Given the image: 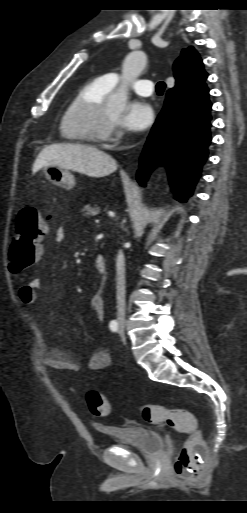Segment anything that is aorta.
<instances>
[{
    "label": "aorta",
    "instance_id": "762f6f07",
    "mask_svg": "<svg viewBox=\"0 0 247 513\" xmlns=\"http://www.w3.org/2000/svg\"><path fill=\"white\" fill-rule=\"evenodd\" d=\"M146 55L142 51L129 53L122 65V81L115 92L108 99V106L122 112L128 100L130 82L136 79L146 66Z\"/></svg>",
    "mask_w": 247,
    "mask_h": 513
}]
</instances>
